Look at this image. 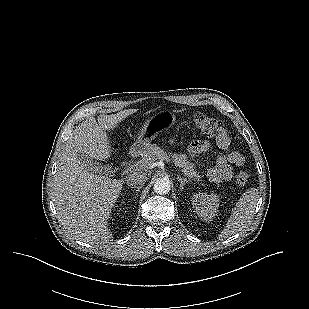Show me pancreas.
<instances>
[{
    "instance_id": "cf45deb5",
    "label": "pancreas",
    "mask_w": 309,
    "mask_h": 309,
    "mask_svg": "<svg viewBox=\"0 0 309 309\" xmlns=\"http://www.w3.org/2000/svg\"><path fill=\"white\" fill-rule=\"evenodd\" d=\"M157 159L172 160L177 167L182 168V172L186 176L200 181L201 176L194 170L195 165L187 160L185 154L174 153L170 156L156 144H150L142 151L141 161L143 163L149 164Z\"/></svg>"
}]
</instances>
